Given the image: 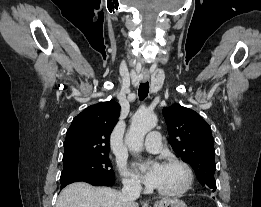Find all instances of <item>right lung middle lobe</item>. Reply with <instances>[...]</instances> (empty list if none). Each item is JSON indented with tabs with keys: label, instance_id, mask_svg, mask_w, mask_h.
I'll use <instances>...</instances> for the list:
<instances>
[{
	"label": "right lung middle lobe",
	"instance_id": "right-lung-middle-lobe-1",
	"mask_svg": "<svg viewBox=\"0 0 261 207\" xmlns=\"http://www.w3.org/2000/svg\"><path fill=\"white\" fill-rule=\"evenodd\" d=\"M108 155L78 157L63 161L60 182L77 178L114 177Z\"/></svg>",
	"mask_w": 261,
	"mask_h": 207
}]
</instances>
